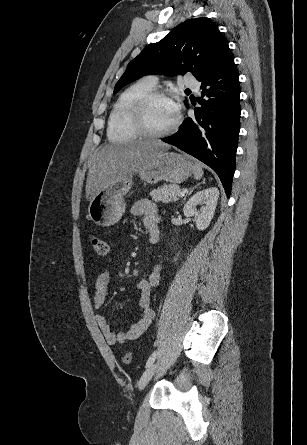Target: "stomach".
I'll use <instances>...</instances> for the list:
<instances>
[{"mask_svg": "<svg viewBox=\"0 0 307 445\" xmlns=\"http://www.w3.org/2000/svg\"><path fill=\"white\" fill-rule=\"evenodd\" d=\"M192 172L193 164L189 158L176 152H161L152 160V164L138 170L141 180L151 184L158 180L178 184L191 176ZM132 184L131 176H126L102 188L89 202L88 214L93 223L100 227H112L118 223L126 210L124 196L132 188Z\"/></svg>", "mask_w": 307, "mask_h": 445, "instance_id": "obj_1", "label": "stomach"}]
</instances>
